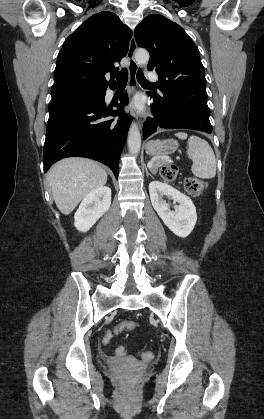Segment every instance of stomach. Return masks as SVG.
<instances>
[{
    "label": "stomach",
    "instance_id": "1",
    "mask_svg": "<svg viewBox=\"0 0 264 419\" xmlns=\"http://www.w3.org/2000/svg\"><path fill=\"white\" fill-rule=\"evenodd\" d=\"M178 148V142L173 139L151 140L146 146V153L150 156H168L174 153Z\"/></svg>",
    "mask_w": 264,
    "mask_h": 419
}]
</instances>
